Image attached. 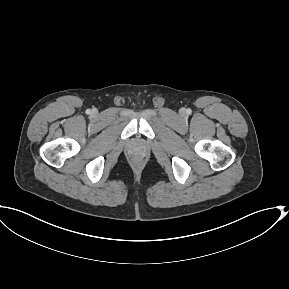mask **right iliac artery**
Masks as SVG:
<instances>
[{"instance_id":"obj_1","label":"right iliac artery","mask_w":289,"mask_h":289,"mask_svg":"<svg viewBox=\"0 0 289 289\" xmlns=\"http://www.w3.org/2000/svg\"><path fill=\"white\" fill-rule=\"evenodd\" d=\"M86 113H87V114H90V113H91V111L88 109V110L86 111Z\"/></svg>"}]
</instances>
